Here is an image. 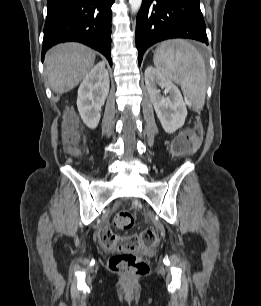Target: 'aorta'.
Listing matches in <instances>:
<instances>
[{
    "label": "aorta",
    "instance_id": "762f6f07",
    "mask_svg": "<svg viewBox=\"0 0 261 306\" xmlns=\"http://www.w3.org/2000/svg\"><path fill=\"white\" fill-rule=\"evenodd\" d=\"M132 13H137L141 7L142 0H129Z\"/></svg>",
    "mask_w": 261,
    "mask_h": 306
}]
</instances>
